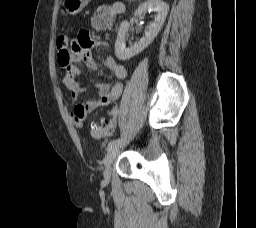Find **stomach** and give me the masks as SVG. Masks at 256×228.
Instances as JSON below:
<instances>
[{
	"instance_id": "stomach-1",
	"label": "stomach",
	"mask_w": 256,
	"mask_h": 228,
	"mask_svg": "<svg viewBox=\"0 0 256 228\" xmlns=\"http://www.w3.org/2000/svg\"><path fill=\"white\" fill-rule=\"evenodd\" d=\"M90 1L91 0H63V6L69 14L76 15L80 13Z\"/></svg>"
}]
</instances>
